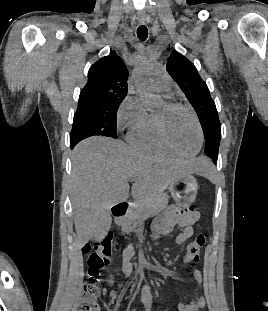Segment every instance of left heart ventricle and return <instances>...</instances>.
<instances>
[{
  "label": "left heart ventricle",
  "mask_w": 268,
  "mask_h": 311,
  "mask_svg": "<svg viewBox=\"0 0 268 311\" xmlns=\"http://www.w3.org/2000/svg\"><path fill=\"white\" fill-rule=\"evenodd\" d=\"M164 110L165 105L158 112ZM165 126L168 137L176 148L188 154L197 150L199 134L189 113L181 109L168 111L165 116Z\"/></svg>",
  "instance_id": "left-heart-ventricle-1"
}]
</instances>
